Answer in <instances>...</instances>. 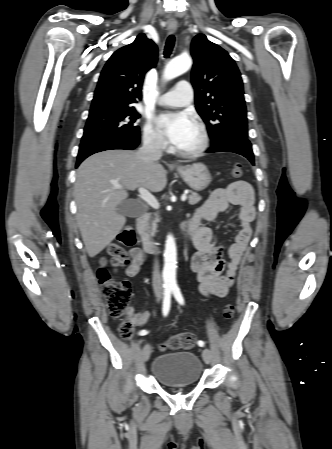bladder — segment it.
<instances>
[{"mask_svg":"<svg viewBox=\"0 0 332 449\" xmlns=\"http://www.w3.org/2000/svg\"><path fill=\"white\" fill-rule=\"evenodd\" d=\"M151 373L165 387L193 386L200 381L203 366L195 353L178 351L157 356Z\"/></svg>","mask_w":332,"mask_h":449,"instance_id":"1","label":"bladder"}]
</instances>
